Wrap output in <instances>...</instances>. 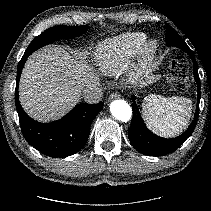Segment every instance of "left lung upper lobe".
<instances>
[{
	"label": "left lung upper lobe",
	"mask_w": 211,
	"mask_h": 211,
	"mask_svg": "<svg viewBox=\"0 0 211 211\" xmlns=\"http://www.w3.org/2000/svg\"><path fill=\"white\" fill-rule=\"evenodd\" d=\"M174 39L181 40L182 38L179 36V34L171 26H167L166 42L173 41Z\"/></svg>",
	"instance_id": "1"
}]
</instances>
